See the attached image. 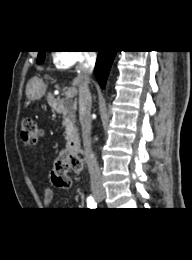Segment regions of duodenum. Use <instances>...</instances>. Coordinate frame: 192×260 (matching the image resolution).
Instances as JSON below:
<instances>
[{"label": "duodenum", "mask_w": 192, "mask_h": 260, "mask_svg": "<svg viewBox=\"0 0 192 260\" xmlns=\"http://www.w3.org/2000/svg\"><path fill=\"white\" fill-rule=\"evenodd\" d=\"M59 110H62L59 108ZM66 150L70 154L80 155L82 153V148L80 145L78 134L73 131L68 139Z\"/></svg>", "instance_id": "410a0bca"}]
</instances>
